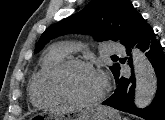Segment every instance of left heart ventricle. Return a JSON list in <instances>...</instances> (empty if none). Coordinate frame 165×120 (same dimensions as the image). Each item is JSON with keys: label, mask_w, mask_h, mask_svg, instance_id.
<instances>
[{"label": "left heart ventricle", "mask_w": 165, "mask_h": 120, "mask_svg": "<svg viewBox=\"0 0 165 120\" xmlns=\"http://www.w3.org/2000/svg\"><path fill=\"white\" fill-rule=\"evenodd\" d=\"M66 92L76 99H90L97 96L103 83L99 75L86 68H73L67 72L63 79Z\"/></svg>", "instance_id": "obj_1"}]
</instances>
